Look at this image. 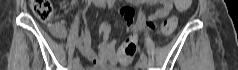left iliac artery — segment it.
Listing matches in <instances>:
<instances>
[{"label":"left iliac artery","instance_id":"obj_1","mask_svg":"<svg viewBox=\"0 0 238 70\" xmlns=\"http://www.w3.org/2000/svg\"><path fill=\"white\" fill-rule=\"evenodd\" d=\"M140 58L142 61H145V62L147 61V56L144 53H141Z\"/></svg>","mask_w":238,"mask_h":70}]
</instances>
